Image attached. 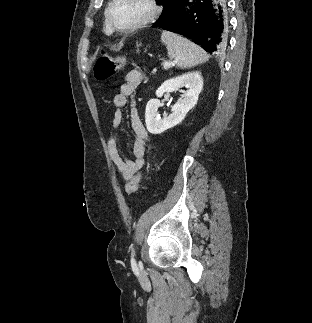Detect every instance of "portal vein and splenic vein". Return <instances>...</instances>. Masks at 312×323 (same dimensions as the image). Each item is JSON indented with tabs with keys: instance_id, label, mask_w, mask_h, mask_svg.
Returning <instances> with one entry per match:
<instances>
[{
	"instance_id": "portal-vein-and-splenic-vein-1",
	"label": "portal vein and splenic vein",
	"mask_w": 312,
	"mask_h": 323,
	"mask_svg": "<svg viewBox=\"0 0 312 323\" xmlns=\"http://www.w3.org/2000/svg\"><path fill=\"white\" fill-rule=\"evenodd\" d=\"M174 66L173 62H163V68H171Z\"/></svg>"
}]
</instances>
